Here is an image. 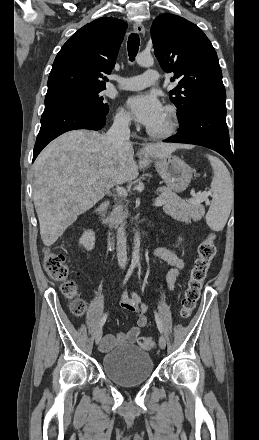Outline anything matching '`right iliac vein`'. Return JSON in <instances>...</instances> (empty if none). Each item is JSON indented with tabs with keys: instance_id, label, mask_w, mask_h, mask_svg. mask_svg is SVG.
<instances>
[{
	"instance_id": "1",
	"label": "right iliac vein",
	"mask_w": 259,
	"mask_h": 440,
	"mask_svg": "<svg viewBox=\"0 0 259 440\" xmlns=\"http://www.w3.org/2000/svg\"><path fill=\"white\" fill-rule=\"evenodd\" d=\"M102 338V328H99L95 335V343L99 344Z\"/></svg>"
}]
</instances>
